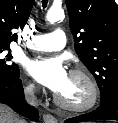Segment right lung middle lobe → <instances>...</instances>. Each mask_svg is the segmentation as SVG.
Returning <instances> with one entry per match:
<instances>
[{
	"label": "right lung middle lobe",
	"instance_id": "1",
	"mask_svg": "<svg viewBox=\"0 0 118 123\" xmlns=\"http://www.w3.org/2000/svg\"><path fill=\"white\" fill-rule=\"evenodd\" d=\"M9 48H0V79H13L19 75V67L15 63H11L12 55L5 51Z\"/></svg>",
	"mask_w": 118,
	"mask_h": 123
}]
</instances>
